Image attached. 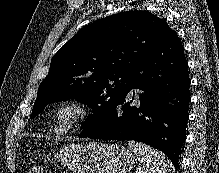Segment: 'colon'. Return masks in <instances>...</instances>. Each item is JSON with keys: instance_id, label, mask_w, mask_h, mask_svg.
Here are the masks:
<instances>
[{"instance_id": "1", "label": "colon", "mask_w": 219, "mask_h": 173, "mask_svg": "<svg viewBox=\"0 0 219 173\" xmlns=\"http://www.w3.org/2000/svg\"><path fill=\"white\" fill-rule=\"evenodd\" d=\"M28 173H44L42 164L40 162H32Z\"/></svg>"}]
</instances>
